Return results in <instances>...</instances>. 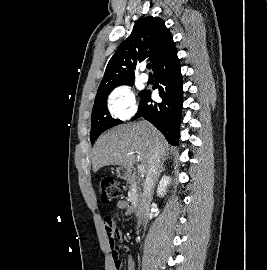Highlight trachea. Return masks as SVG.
Segmentation results:
<instances>
[{
  "instance_id": "trachea-1",
  "label": "trachea",
  "mask_w": 267,
  "mask_h": 270,
  "mask_svg": "<svg viewBox=\"0 0 267 270\" xmlns=\"http://www.w3.org/2000/svg\"><path fill=\"white\" fill-rule=\"evenodd\" d=\"M152 65L151 64H147V68L151 69Z\"/></svg>"
}]
</instances>
